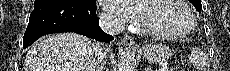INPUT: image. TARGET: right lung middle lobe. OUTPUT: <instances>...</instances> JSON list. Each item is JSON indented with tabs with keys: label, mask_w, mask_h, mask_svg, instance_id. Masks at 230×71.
I'll return each instance as SVG.
<instances>
[{
	"label": "right lung middle lobe",
	"mask_w": 230,
	"mask_h": 71,
	"mask_svg": "<svg viewBox=\"0 0 230 71\" xmlns=\"http://www.w3.org/2000/svg\"><path fill=\"white\" fill-rule=\"evenodd\" d=\"M39 1H41V0H35V3L39 2ZM71 1L80 2V3H83V4L88 5V6L96 5L95 0H71Z\"/></svg>",
	"instance_id": "obj_1"
}]
</instances>
